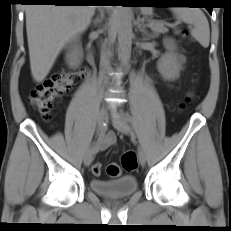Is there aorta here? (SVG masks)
I'll use <instances>...</instances> for the list:
<instances>
[{"label": "aorta", "mask_w": 231, "mask_h": 231, "mask_svg": "<svg viewBox=\"0 0 231 231\" xmlns=\"http://www.w3.org/2000/svg\"><path fill=\"white\" fill-rule=\"evenodd\" d=\"M118 57L122 65H128L131 58L132 23L129 7L118 6Z\"/></svg>", "instance_id": "1"}]
</instances>
